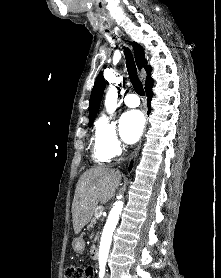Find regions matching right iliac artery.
<instances>
[{
    "label": "right iliac artery",
    "instance_id": "right-iliac-artery-1",
    "mask_svg": "<svg viewBox=\"0 0 221 278\" xmlns=\"http://www.w3.org/2000/svg\"><path fill=\"white\" fill-rule=\"evenodd\" d=\"M104 274H105V265L104 264H100L99 277L103 278Z\"/></svg>",
    "mask_w": 221,
    "mask_h": 278
}]
</instances>
